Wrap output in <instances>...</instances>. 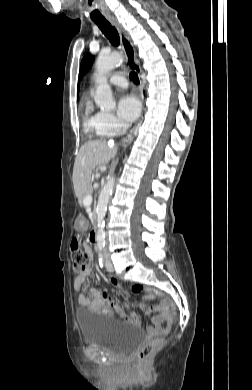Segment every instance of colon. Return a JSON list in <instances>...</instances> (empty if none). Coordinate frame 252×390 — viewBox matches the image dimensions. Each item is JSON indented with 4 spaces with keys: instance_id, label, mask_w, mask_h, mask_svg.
<instances>
[{
    "instance_id": "1",
    "label": "colon",
    "mask_w": 252,
    "mask_h": 390,
    "mask_svg": "<svg viewBox=\"0 0 252 390\" xmlns=\"http://www.w3.org/2000/svg\"><path fill=\"white\" fill-rule=\"evenodd\" d=\"M71 259L73 264V270L76 273L84 272L89 268L92 263V255L91 253L82 246L81 242L77 239H73L71 242ZM111 285L115 287L119 292L124 293L123 289L116 282H112ZM133 293H139L143 290V287L140 285H134L131 288ZM149 295L152 297H161L165 300L168 310L171 315H175V308L173 304L166 300V297L163 296L159 291L153 288L147 289ZM163 345L162 339L153 340L147 344H145L138 353V360L141 363H147L150 361L152 356L156 351H158Z\"/></svg>"
}]
</instances>
